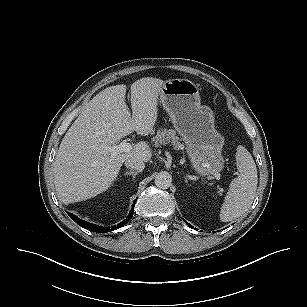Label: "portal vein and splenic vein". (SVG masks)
<instances>
[{
    "label": "portal vein and splenic vein",
    "instance_id": "18ae733b",
    "mask_svg": "<svg viewBox=\"0 0 307 307\" xmlns=\"http://www.w3.org/2000/svg\"><path fill=\"white\" fill-rule=\"evenodd\" d=\"M106 149L114 156L118 153L130 152L133 149V146L126 141H122L120 144L107 147Z\"/></svg>",
    "mask_w": 307,
    "mask_h": 307
}]
</instances>
